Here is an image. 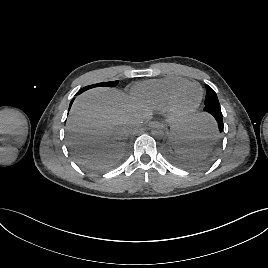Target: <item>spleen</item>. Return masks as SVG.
<instances>
[{
  "label": "spleen",
  "instance_id": "3e777b00",
  "mask_svg": "<svg viewBox=\"0 0 268 268\" xmlns=\"http://www.w3.org/2000/svg\"><path fill=\"white\" fill-rule=\"evenodd\" d=\"M191 128L189 148H176L177 152L187 157L213 153L216 149L215 141L220 137V130L216 126L215 117L211 114L200 115L195 118Z\"/></svg>",
  "mask_w": 268,
  "mask_h": 268
}]
</instances>
